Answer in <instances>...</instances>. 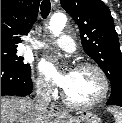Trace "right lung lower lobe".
<instances>
[{
	"mask_svg": "<svg viewBox=\"0 0 122 123\" xmlns=\"http://www.w3.org/2000/svg\"><path fill=\"white\" fill-rule=\"evenodd\" d=\"M31 71H23L1 62V96H26L32 92Z\"/></svg>",
	"mask_w": 122,
	"mask_h": 123,
	"instance_id": "right-lung-lower-lobe-1",
	"label": "right lung lower lobe"
}]
</instances>
